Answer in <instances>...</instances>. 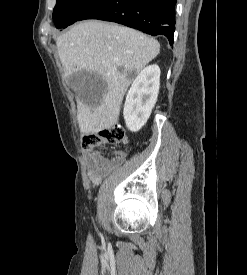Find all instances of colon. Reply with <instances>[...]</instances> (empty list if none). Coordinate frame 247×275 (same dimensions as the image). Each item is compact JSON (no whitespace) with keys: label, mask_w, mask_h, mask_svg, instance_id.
Instances as JSON below:
<instances>
[{"label":"colon","mask_w":247,"mask_h":275,"mask_svg":"<svg viewBox=\"0 0 247 275\" xmlns=\"http://www.w3.org/2000/svg\"><path fill=\"white\" fill-rule=\"evenodd\" d=\"M125 141L126 135L123 128L120 125H114L96 133L84 134L81 144L84 149L90 150L104 144L117 145Z\"/></svg>","instance_id":"1"}]
</instances>
